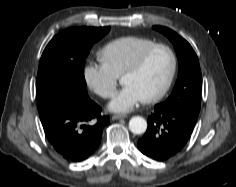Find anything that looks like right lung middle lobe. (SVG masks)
<instances>
[{"mask_svg":"<svg viewBox=\"0 0 236 187\" xmlns=\"http://www.w3.org/2000/svg\"><path fill=\"white\" fill-rule=\"evenodd\" d=\"M110 27L69 28L56 35L40 59L36 79L37 107L43 119L54 101L61 97L87 95L84 64L93 44Z\"/></svg>","mask_w":236,"mask_h":187,"instance_id":"1","label":"right lung middle lobe"}]
</instances>
